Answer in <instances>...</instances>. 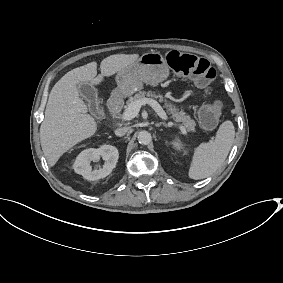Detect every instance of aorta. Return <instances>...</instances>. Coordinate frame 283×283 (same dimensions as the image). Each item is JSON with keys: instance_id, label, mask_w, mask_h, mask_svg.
<instances>
[{"instance_id": "aorta-1", "label": "aorta", "mask_w": 283, "mask_h": 283, "mask_svg": "<svg viewBox=\"0 0 283 283\" xmlns=\"http://www.w3.org/2000/svg\"><path fill=\"white\" fill-rule=\"evenodd\" d=\"M152 137L148 131H141L138 135V141L142 145H147L151 142Z\"/></svg>"}]
</instances>
